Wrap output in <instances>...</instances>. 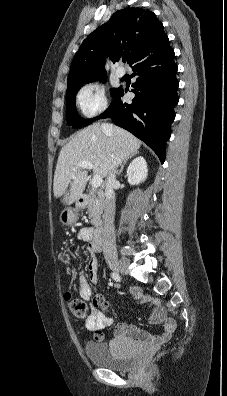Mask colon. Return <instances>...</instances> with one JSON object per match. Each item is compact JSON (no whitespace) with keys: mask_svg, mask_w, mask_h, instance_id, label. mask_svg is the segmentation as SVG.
Returning a JSON list of instances; mask_svg holds the SVG:
<instances>
[{"mask_svg":"<svg viewBox=\"0 0 227 396\" xmlns=\"http://www.w3.org/2000/svg\"><path fill=\"white\" fill-rule=\"evenodd\" d=\"M62 259L65 263H69L72 260V255L70 252L65 251L62 254ZM65 300L69 305L70 311L72 314L79 318V319H85L88 315V307L86 303L79 298L73 297L71 292L67 291L65 293Z\"/></svg>","mask_w":227,"mask_h":396,"instance_id":"colon-1","label":"colon"}]
</instances>
